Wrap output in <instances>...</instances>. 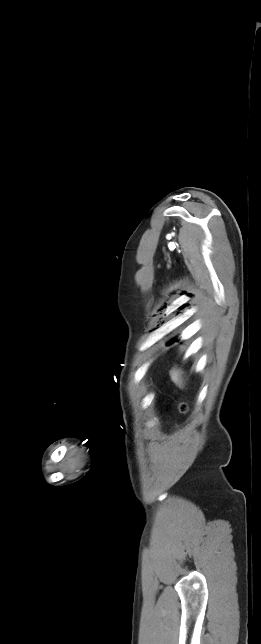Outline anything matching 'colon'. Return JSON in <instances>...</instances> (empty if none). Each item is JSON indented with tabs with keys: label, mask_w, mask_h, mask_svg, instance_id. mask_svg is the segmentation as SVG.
Listing matches in <instances>:
<instances>
[{
	"label": "colon",
	"mask_w": 261,
	"mask_h": 644,
	"mask_svg": "<svg viewBox=\"0 0 261 644\" xmlns=\"http://www.w3.org/2000/svg\"><path fill=\"white\" fill-rule=\"evenodd\" d=\"M179 409H180V411L185 412V411H186V409H187L186 404H185L184 402H181V403L179 404Z\"/></svg>",
	"instance_id": "colon-1"
}]
</instances>
